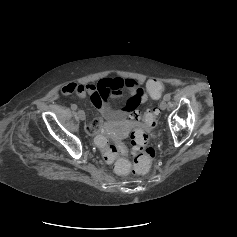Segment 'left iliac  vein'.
Here are the masks:
<instances>
[{"label": "left iliac vein", "instance_id": "obj_1", "mask_svg": "<svg viewBox=\"0 0 237 237\" xmlns=\"http://www.w3.org/2000/svg\"><path fill=\"white\" fill-rule=\"evenodd\" d=\"M166 108H167V102H166V100H162L160 102V109L165 110Z\"/></svg>", "mask_w": 237, "mask_h": 237}]
</instances>
